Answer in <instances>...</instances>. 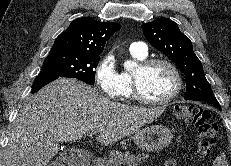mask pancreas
<instances>
[{
  "label": "pancreas",
  "mask_w": 231,
  "mask_h": 166,
  "mask_svg": "<svg viewBox=\"0 0 231 166\" xmlns=\"http://www.w3.org/2000/svg\"><path fill=\"white\" fill-rule=\"evenodd\" d=\"M148 155H134L130 153H122L117 150L110 151L108 156L96 158L91 166H139L143 161L145 162Z\"/></svg>",
  "instance_id": "obj_1"
}]
</instances>
